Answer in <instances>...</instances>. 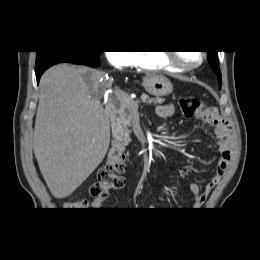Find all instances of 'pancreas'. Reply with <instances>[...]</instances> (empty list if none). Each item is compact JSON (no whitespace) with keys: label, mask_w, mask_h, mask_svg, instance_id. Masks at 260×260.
<instances>
[{"label":"pancreas","mask_w":260,"mask_h":260,"mask_svg":"<svg viewBox=\"0 0 260 260\" xmlns=\"http://www.w3.org/2000/svg\"><path fill=\"white\" fill-rule=\"evenodd\" d=\"M141 99L143 102L148 104H162L165 100L162 98H150L147 94H142ZM134 101L133 99H131ZM137 102V101H134ZM133 114V109L127 104L119 101V108L117 115L115 117L116 125L119 132V140L123 145H128L131 141L129 127L131 126V117Z\"/></svg>","instance_id":"cf45deb5"}]
</instances>
